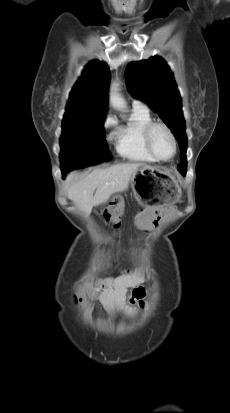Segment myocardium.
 Returning a JSON list of instances; mask_svg holds the SVG:
<instances>
[{"mask_svg": "<svg viewBox=\"0 0 230 413\" xmlns=\"http://www.w3.org/2000/svg\"><path fill=\"white\" fill-rule=\"evenodd\" d=\"M156 127H162L163 129H165L166 132L169 134L172 142H173L174 151H173L172 156H171L170 158H168V159H163V158L159 157V156L156 154V152L154 151V149H153V146H152V133H153V130H154ZM143 140H144V144H145V147H146L148 153H149L156 161H159V162H169V161H171V160L176 156V154H177V151H178V143H177L176 136H175L174 132L172 131V129L170 128V126H169L168 124L164 123V122H161V121H152V122H150L149 124H147L146 127L144 128V131H143Z\"/></svg>", "mask_w": 230, "mask_h": 413, "instance_id": "myocardium-1", "label": "myocardium"}]
</instances>
